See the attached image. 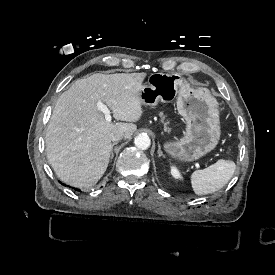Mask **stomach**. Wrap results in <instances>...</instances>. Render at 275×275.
Returning a JSON list of instances; mask_svg holds the SVG:
<instances>
[{
  "instance_id": "obj_1",
  "label": "stomach",
  "mask_w": 275,
  "mask_h": 275,
  "mask_svg": "<svg viewBox=\"0 0 275 275\" xmlns=\"http://www.w3.org/2000/svg\"><path fill=\"white\" fill-rule=\"evenodd\" d=\"M177 110L186 127L180 138L164 140L162 147L171 159L195 162L212 152L221 137L220 107L207 88L189 86L177 73L151 74L140 98L146 106L170 103L176 96Z\"/></svg>"
}]
</instances>
